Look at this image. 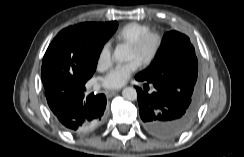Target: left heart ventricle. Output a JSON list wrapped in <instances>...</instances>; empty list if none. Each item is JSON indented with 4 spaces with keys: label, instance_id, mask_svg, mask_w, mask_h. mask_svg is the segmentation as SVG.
Segmentation results:
<instances>
[{
    "label": "left heart ventricle",
    "instance_id": "1",
    "mask_svg": "<svg viewBox=\"0 0 244 157\" xmlns=\"http://www.w3.org/2000/svg\"><path fill=\"white\" fill-rule=\"evenodd\" d=\"M153 44V41H149L146 46L140 51H134L129 48L127 59H135L140 62L151 51V49L153 48Z\"/></svg>",
    "mask_w": 244,
    "mask_h": 157
}]
</instances>
